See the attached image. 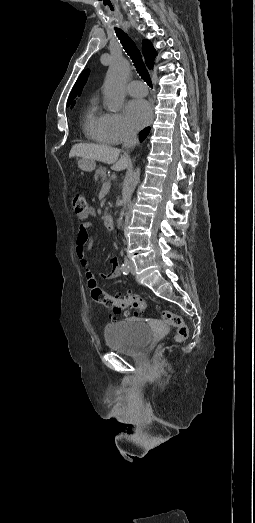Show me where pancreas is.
I'll list each match as a JSON object with an SVG mask.
<instances>
[{"label":"pancreas","mask_w":255,"mask_h":523,"mask_svg":"<svg viewBox=\"0 0 255 523\" xmlns=\"http://www.w3.org/2000/svg\"><path fill=\"white\" fill-rule=\"evenodd\" d=\"M94 178L96 182H98L99 178H101L100 182H105V180H108L106 168H99V170H96ZM106 210H108V208H106Z\"/></svg>","instance_id":"1"}]
</instances>
